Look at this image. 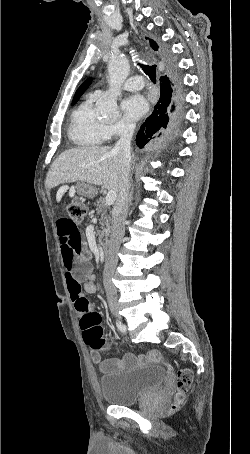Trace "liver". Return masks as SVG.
<instances>
[{
    "mask_svg": "<svg viewBox=\"0 0 250 454\" xmlns=\"http://www.w3.org/2000/svg\"><path fill=\"white\" fill-rule=\"evenodd\" d=\"M123 175L122 159L111 147L73 148L61 153L52 163L45 186L50 191L60 184L85 182L118 194Z\"/></svg>",
    "mask_w": 250,
    "mask_h": 454,
    "instance_id": "liver-1",
    "label": "liver"
}]
</instances>
